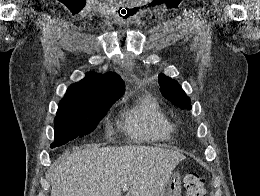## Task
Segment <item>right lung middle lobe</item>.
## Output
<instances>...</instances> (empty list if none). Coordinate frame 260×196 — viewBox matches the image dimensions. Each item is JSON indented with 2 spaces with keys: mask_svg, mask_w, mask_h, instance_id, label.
Masks as SVG:
<instances>
[{
  "mask_svg": "<svg viewBox=\"0 0 260 196\" xmlns=\"http://www.w3.org/2000/svg\"><path fill=\"white\" fill-rule=\"evenodd\" d=\"M111 105L61 107L54 119L55 141L51 148L90 134L106 115Z\"/></svg>",
  "mask_w": 260,
  "mask_h": 196,
  "instance_id": "right-lung-middle-lobe-1",
  "label": "right lung middle lobe"
}]
</instances>
